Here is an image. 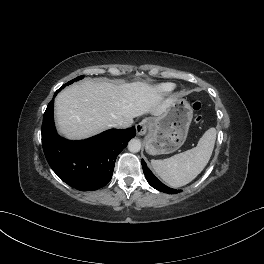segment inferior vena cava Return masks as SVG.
<instances>
[{"label":"inferior vena cava","mask_w":264,"mask_h":264,"mask_svg":"<svg viewBox=\"0 0 264 264\" xmlns=\"http://www.w3.org/2000/svg\"><path fill=\"white\" fill-rule=\"evenodd\" d=\"M113 127H115V128H127L128 124L124 121H119V122L113 124Z\"/></svg>","instance_id":"602c4592"}]
</instances>
